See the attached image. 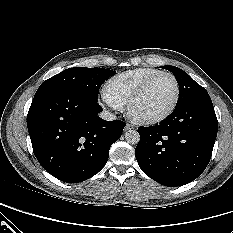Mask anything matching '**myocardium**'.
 Wrapping results in <instances>:
<instances>
[{
    "instance_id": "1",
    "label": "myocardium",
    "mask_w": 233,
    "mask_h": 233,
    "mask_svg": "<svg viewBox=\"0 0 233 233\" xmlns=\"http://www.w3.org/2000/svg\"><path fill=\"white\" fill-rule=\"evenodd\" d=\"M161 76H168L170 77L174 84H175V97L173 102L171 103V105L169 106V108L164 111L163 113L159 114V115H155V116H149V117H144V116H138L137 115V119L135 121L142 123V124H146V125H153V124H157L160 123L164 120H166L169 116L172 115V113L175 111L178 103H179V99H180V94H181V90H180V84L179 81L177 79V77L168 71H160L156 74H154L153 76H151L150 78H148L128 99L127 101V111H128V115L130 117H133L135 114L133 112V107L135 105V103L144 95V93L147 91V89L149 88V86L159 77Z\"/></svg>"
}]
</instances>
